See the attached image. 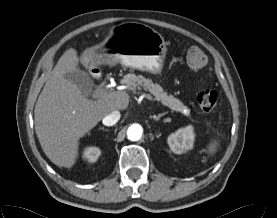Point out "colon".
<instances>
[{
	"label": "colon",
	"mask_w": 277,
	"mask_h": 218,
	"mask_svg": "<svg viewBox=\"0 0 277 218\" xmlns=\"http://www.w3.org/2000/svg\"><path fill=\"white\" fill-rule=\"evenodd\" d=\"M207 63L205 52L199 47H191L186 54V64L194 71L202 69ZM197 101L205 112H213L218 103V94L212 89H203L197 95Z\"/></svg>",
	"instance_id": "5ec220e1"
}]
</instances>
